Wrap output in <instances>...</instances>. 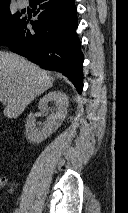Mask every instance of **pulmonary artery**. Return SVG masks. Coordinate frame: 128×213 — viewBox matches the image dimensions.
I'll return each instance as SVG.
<instances>
[{"mask_svg": "<svg viewBox=\"0 0 128 213\" xmlns=\"http://www.w3.org/2000/svg\"><path fill=\"white\" fill-rule=\"evenodd\" d=\"M17 4L20 8H25L27 6V0H18Z\"/></svg>", "mask_w": 128, "mask_h": 213, "instance_id": "obj_1", "label": "pulmonary artery"}]
</instances>
